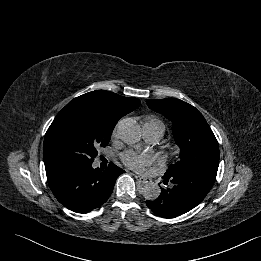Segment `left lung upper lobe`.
Returning a JSON list of instances; mask_svg holds the SVG:
<instances>
[{
	"label": "left lung upper lobe",
	"mask_w": 261,
	"mask_h": 261,
	"mask_svg": "<svg viewBox=\"0 0 261 261\" xmlns=\"http://www.w3.org/2000/svg\"><path fill=\"white\" fill-rule=\"evenodd\" d=\"M150 109L172 122V131L180 156L165 175L184 171H199L216 177L219 166V146L203 115L192 105L179 99H148Z\"/></svg>",
	"instance_id": "1"
}]
</instances>
